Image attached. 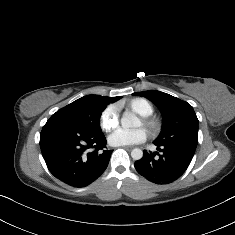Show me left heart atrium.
<instances>
[{
    "instance_id": "obj_1",
    "label": "left heart atrium",
    "mask_w": 235,
    "mask_h": 235,
    "mask_svg": "<svg viewBox=\"0 0 235 235\" xmlns=\"http://www.w3.org/2000/svg\"><path fill=\"white\" fill-rule=\"evenodd\" d=\"M148 137L144 128L135 130L116 129L108 136V143L111 146H129L143 143Z\"/></svg>"
}]
</instances>
